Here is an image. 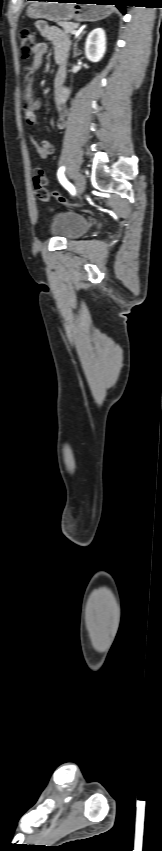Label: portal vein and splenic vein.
<instances>
[{"label": "portal vein and splenic vein", "mask_w": 162, "mask_h": 851, "mask_svg": "<svg viewBox=\"0 0 162 851\" xmlns=\"http://www.w3.org/2000/svg\"><path fill=\"white\" fill-rule=\"evenodd\" d=\"M71 34H77V31L75 30V31H73Z\"/></svg>", "instance_id": "portal-vein-and-splenic-vein-1"}]
</instances>
